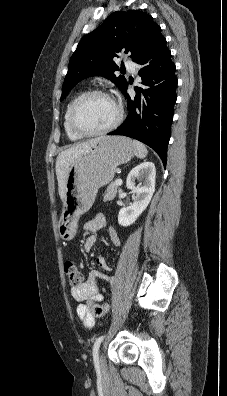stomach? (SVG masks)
Instances as JSON below:
<instances>
[{
	"label": "stomach",
	"mask_w": 227,
	"mask_h": 396,
	"mask_svg": "<svg viewBox=\"0 0 227 396\" xmlns=\"http://www.w3.org/2000/svg\"><path fill=\"white\" fill-rule=\"evenodd\" d=\"M135 153V146L129 138L106 136L72 162L66 178L63 211L58 221L62 240L74 238L78 219L91 208L98 189L110 183L116 168L129 162Z\"/></svg>",
	"instance_id": "stomach-1"
}]
</instances>
